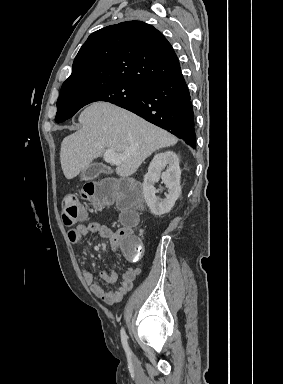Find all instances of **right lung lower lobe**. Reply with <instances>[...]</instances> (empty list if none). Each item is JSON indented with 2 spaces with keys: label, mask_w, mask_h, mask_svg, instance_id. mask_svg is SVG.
Here are the masks:
<instances>
[{
  "label": "right lung lower lobe",
  "mask_w": 283,
  "mask_h": 384,
  "mask_svg": "<svg viewBox=\"0 0 283 384\" xmlns=\"http://www.w3.org/2000/svg\"><path fill=\"white\" fill-rule=\"evenodd\" d=\"M136 99L116 104L167 130L195 148L190 93L181 71L143 87Z\"/></svg>",
  "instance_id": "right-lung-lower-lobe-1"
}]
</instances>
